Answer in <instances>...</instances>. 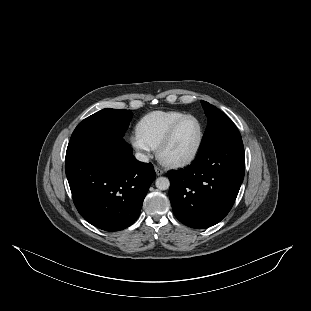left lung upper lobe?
<instances>
[{"label": "left lung upper lobe", "instance_id": "left-lung-upper-lobe-1", "mask_svg": "<svg viewBox=\"0 0 311 311\" xmlns=\"http://www.w3.org/2000/svg\"><path fill=\"white\" fill-rule=\"evenodd\" d=\"M201 104L208 123L198 153L204 152L224 140L241 137L239 130L226 114L208 102L201 101Z\"/></svg>", "mask_w": 311, "mask_h": 311}]
</instances>
